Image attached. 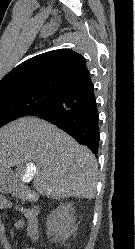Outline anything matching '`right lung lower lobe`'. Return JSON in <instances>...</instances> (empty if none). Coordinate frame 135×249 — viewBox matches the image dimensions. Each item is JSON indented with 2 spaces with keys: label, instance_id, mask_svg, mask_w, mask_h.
<instances>
[{
  "label": "right lung lower lobe",
  "instance_id": "98d812e1",
  "mask_svg": "<svg viewBox=\"0 0 135 249\" xmlns=\"http://www.w3.org/2000/svg\"><path fill=\"white\" fill-rule=\"evenodd\" d=\"M29 115L57 125L94 154L98 153L99 116L92 82L62 92Z\"/></svg>",
  "mask_w": 135,
  "mask_h": 249
}]
</instances>
